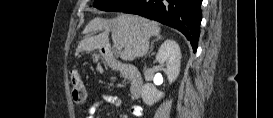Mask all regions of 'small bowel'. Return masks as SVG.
<instances>
[{"label":"small bowel","mask_w":273,"mask_h":118,"mask_svg":"<svg viewBox=\"0 0 273 118\" xmlns=\"http://www.w3.org/2000/svg\"><path fill=\"white\" fill-rule=\"evenodd\" d=\"M104 105L120 107L122 105V99L116 95L101 92L95 95L84 110V114L87 118H92L96 111ZM130 113L134 116L142 115V108L140 106H132Z\"/></svg>","instance_id":"obj_1"}]
</instances>
